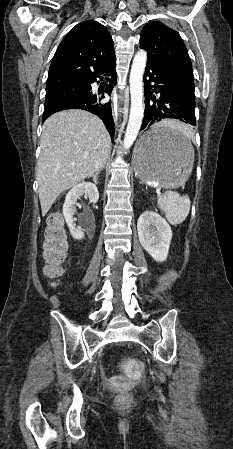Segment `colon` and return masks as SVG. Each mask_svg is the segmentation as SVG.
Masks as SVG:
<instances>
[{"instance_id":"5ec220e1","label":"colon","mask_w":233,"mask_h":449,"mask_svg":"<svg viewBox=\"0 0 233 449\" xmlns=\"http://www.w3.org/2000/svg\"><path fill=\"white\" fill-rule=\"evenodd\" d=\"M43 248L47 261L46 273L51 278L56 279L60 275V264L65 257L67 249L61 216L53 215L49 218ZM126 400L127 395L123 393L117 398V404L122 406L126 403Z\"/></svg>"}]
</instances>
